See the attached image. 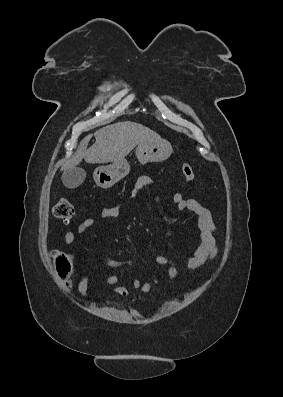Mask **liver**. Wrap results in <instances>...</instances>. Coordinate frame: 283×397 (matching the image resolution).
Segmentation results:
<instances>
[{
	"instance_id": "obj_1",
	"label": "liver",
	"mask_w": 283,
	"mask_h": 397,
	"mask_svg": "<svg viewBox=\"0 0 283 397\" xmlns=\"http://www.w3.org/2000/svg\"><path fill=\"white\" fill-rule=\"evenodd\" d=\"M96 142L87 149L92 135L86 136L75 154L67 161L65 169L73 168L82 159L90 164L122 160L137 145L145 141H156L161 137L142 124L125 121L108 125L94 133Z\"/></svg>"
}]
</instances>
